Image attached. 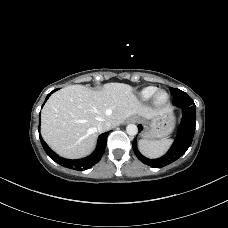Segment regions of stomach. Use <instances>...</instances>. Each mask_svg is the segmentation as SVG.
Instances as JSON below:
<instances>
[{"label": "stomach", "mask_w": 228, "mask_h": 228, "mask_svg": "<svg viewBox=\"0 0 228 228\" xmlns=\"http://www.w3.org/2000/svg\"><path fill=\"white\" fill-rule=\"evenodd\" d=\"M175 127V118L172 111L150 119L142 133L145 139H162L169 136Z\"/></svg>", "instance_id": "stomach-1"}]
</instances>
